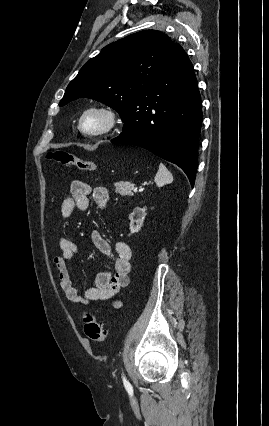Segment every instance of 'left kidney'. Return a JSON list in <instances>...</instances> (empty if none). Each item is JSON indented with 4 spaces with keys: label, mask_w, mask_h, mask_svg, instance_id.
I'll list each match as a JSON object with an SVG mask.
<instances>
[{
    "label": "left kidney",
    "mask_w": 269,
    "mask_h": 426,
    "mask_svg": "<svg viewBox=\"0 0 269 426\" xmlns=\"http://www.w3.org/2000/svg\"><path fill=\"white\" fill-rule=\"evenodd\" d=\"M145 216H146V207H143V208L137 207L129 215L131 234L138 232L141 229V225L145 219Z\"/></svg>",
    "instance_id": "left-kidney-1"
}]
</instances>
